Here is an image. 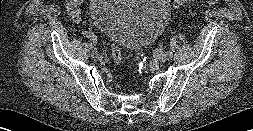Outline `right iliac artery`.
I'll return each mask as SVG.
<instances>
[{
	"mask_svg": "<svg viewBox=\"0 0 253 131\" xmlns=\"http://www.w3.org/2000/svg\"><path fill=\"white\" fill-rule=\"evenodd\" d=\"M91 52L93 54H96L98 52V46L97 45H94L93 48L91 49Z\"/></svg>",
	"mask_w": 253,
	"mask_h": 131,
	"instance_id": "82829eb1",
	"label": "right iliac artery"
}]
</instances>
